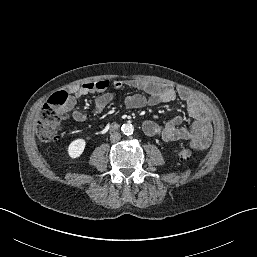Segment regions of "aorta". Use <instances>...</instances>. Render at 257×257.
<instances>
[{
	"label": "aorta",
	"mask_w": 257,
	"mask_h": 257,
	"mask_svg": "<svg viewBox=\"0 0 257 257\" xmlns=\"http://www.w3.org/2000/svg\"><path fill=\"white\" fill-rule=\"evenodd\" d=\"M121 130L125 135H131L134 132V127L132 124H124L122 125Z\"/></svg>",
	"instance_id": "obj_1"
}]
</instances>
